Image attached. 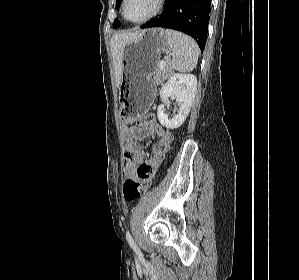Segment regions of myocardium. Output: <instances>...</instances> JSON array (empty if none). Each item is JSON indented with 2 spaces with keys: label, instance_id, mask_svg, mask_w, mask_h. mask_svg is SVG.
I'll use <instances>...</instances> for the list:
<instances>
[{
  "label": "myocardium",
  "instance_id": "f54148a6",
  "mask_svg": "<svg viewBox=\"0 0 299 280\" xmlns=\"http://www.w3.org/2000/svg\"><path fill=\"white\" fill-rule=\"evenodd\" d=\"M127 1L128 0H123V2H122V15L126 21L133 23V24H143V23L150 21L151 19L156 17L161 12V10L163 9L164 4H165V0H156L155 7L150 14H148L146 17H144L140 20H130L127 18L126 13H125Z\"/></svg>",
  "mask_w": 299,
  "mask_h": 280
}]
</instances>
